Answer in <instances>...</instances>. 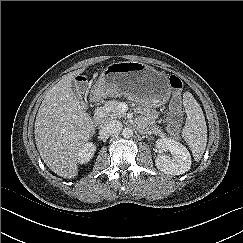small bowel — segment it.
Here are the masks:
<instances>
[{
  "instance_id": "1",
  "label": "small bowel",
  "mask_w": 243,
  "mask_h": 243,
  "mask_svg": "<svg viewBox=\"0 0 243 243\" xmlns=\"http://www.w3.org/2000/svg\"><path fill=\"white\" fill-rule=\"evenodd\" d=\"M149 115H150V111H147V112H146V116H149ZM142 127H143V128L145 127V124H144V123L142 124Z\"/></svg>"
}]
</instances>
